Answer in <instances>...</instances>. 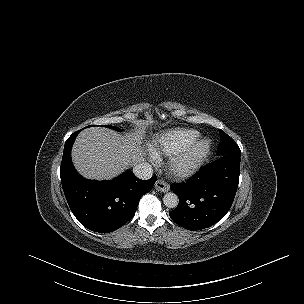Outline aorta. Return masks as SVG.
<instances>
[{"instance_id":"762f6f07","label":"aorta","mask_w":304,"mask_h":304,"mask_svg":"<svg viewBox=\"0 0 304 304\" xmlns=\"http://www.w3.org/2000/svg\"><path fill=\"white\" fill-rule=\"evenodd\" d=\"M163 203L168 208H176L179 204V198L177 194L168 192L163 197Z\"/></svg>"}]
</instances>
